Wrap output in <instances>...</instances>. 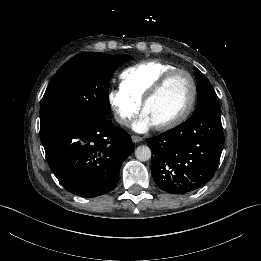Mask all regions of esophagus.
Listing matches in <instances>:
<instances>
[{
    "label": "esophagus",
    "mask_w": 261,
    "mask_h": 261,
    "mask_svg": "<svg viewBox=\"0 0 261 261\" xmlns=\"http://www.w3.org/2000/svg\"><path fill=\"white\" fill-rule=\"evenodd\" d=\"M131 139H132V141H133L134 143H137V142L142 141L143 138H142L141 136L133 135V136L131 137Z\"/></svg>",
    "instance_id": "esophagus-1"
}]
</instances>
